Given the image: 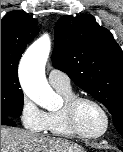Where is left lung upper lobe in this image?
Returning a JSON list of instances; mask_svg holds the SVG:
<instances>
[{"label": "left lung upper lobe", "instance_id": "obj_1", "mask_svg": "<svg viewBox=\"0 0 123 152\" xmlns=\"http://www.w3.org/2000/svg\"><path fill=\"white\" fill-rule=\"evenodd\" d=\"M53 66L104 104L123 135V52L94 17L62 16L55 26Z\"/></svg>", "mask_w": 123, "mask_h": 152}]
</instances>
